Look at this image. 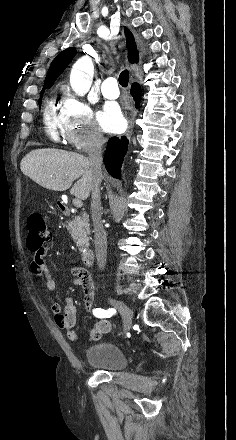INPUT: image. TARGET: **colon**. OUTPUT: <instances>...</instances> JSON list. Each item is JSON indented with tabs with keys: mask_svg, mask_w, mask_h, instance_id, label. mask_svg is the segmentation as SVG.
<instances>
[{
	"mask_svg": "<svg viewBox=\"0 0 236 440\" xmlns=\"http://www.w3.org/2000/svg\"><path fill=\"white\" fill-rule=\"evenodd\" d=\"M26 225L27 245L31 250L41 249L52 239V231L39 213H30Z\"/></svg>",
	"mask_w": 236,
	"mask_h": 440,
	"instance_id": "1",
	"label": "colon"
}]
</instances>
